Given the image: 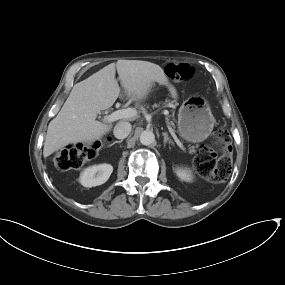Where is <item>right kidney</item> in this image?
I'll list each match as a JSON object with an SVG mask.
<instances>
[{
	"label": "right kidney",
	"mask_w": 285,
	"mask_h": 285,
	"mask_svg": "<svg viewBox=\"0 0 285 285\" xmlns=\"http://www.w3.org/2000/svg\"><path fill=\"white\" fill-rule=\"evenodd\" d=\"M113 167L110 164H99L86 168L80 176V183L84 187H95L105 183L111 173Z\"/></svg>",
	"instance_id": "1"
}]
</instances>
